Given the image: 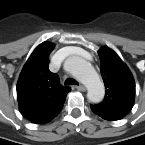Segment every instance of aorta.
<instances>
[{
	"mask_svg": "<svg viewBox=\"0 0 145 145\" xmlns=\"http://www.w3.org/2000/svg\"><path fill=\"white\" fill-rule=\"evenodd\" d=\"M68 69L87 87L90 102L99 103L105 95V87L93 66L80 57H71L67 61Z\"/></svg>",
	"mask_w": 145,
	"mask_h": 145,
	"instance_id": "762f6f07",
	"label": "aorta"
}]
</instances>
